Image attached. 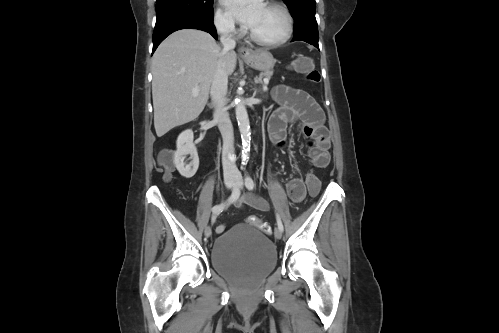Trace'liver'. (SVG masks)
Returning <instances> with one entry per match:
<instances>
[{
    "instance_id": "obj_1",
    "label": "liver",
    "mask_w": 499,
    "mask_h": 333,
    "mask_svg": "<svg viewBox=\"0 0 499 333\" xmlns=\"http://www.w3.org/2000/svg\"><path fill=\"white\" fill-rule=\"evenodd\" d=\"M220 59L227 75L232 74L236 53L224 52L209 33L197 29L178 30L159 45L152 58L154 127L158 137L201 114ZM196 87L199 92L193 96Z\"/></svg>"
}]
</instances>
